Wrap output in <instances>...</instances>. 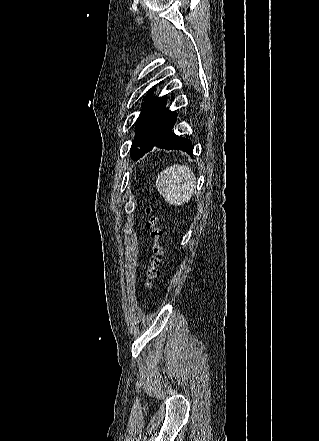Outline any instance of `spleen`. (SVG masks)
Returning a JSON list of instances; mask_svg holds the SVG:
<instances>
[{"mask_svg":"<svg viewBox=\"0 0 319 441\" xmlns=\"http://www.w3.org/2000/svg\"><path fill=\"white\" fill-rule=\"evenodd\" d=\"M155 185L166 202L182 205L193 196L196 177L188 165H172L158 175Z\"/></svg>","mask_w":319,"mask_h":441,"instance_id":"spleen-1","label":"spleen"}]
</instances>
